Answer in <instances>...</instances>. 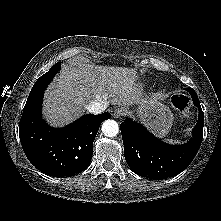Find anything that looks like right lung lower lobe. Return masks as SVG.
Returning a JSON list of instances; mask_svg holds the SVG:
<instances>
[{"mask_svg": "<svg viewBox=\"0 0 221 221\" xmlns=\"http://www.w3.org/2000/svg\"><path fill=\"white\" fill-rule=\"evenodd\" d=\"M45 87L30 92L19 124L22 148L40 171L54 177L72 176L83 171L92 159V145L108 112L84 115L61 128H50L41 117Z\"/></svg>", "mask_w": 221, "mask_h": 221, "instance_id": "right-lung-lower-lobe-1", "label": "right lung lower lobe"}]
</instances>
